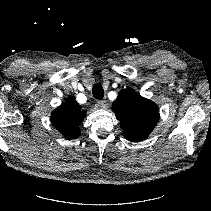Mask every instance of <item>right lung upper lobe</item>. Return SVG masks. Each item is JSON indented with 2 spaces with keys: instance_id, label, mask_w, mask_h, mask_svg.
<instances>
[{
  "instance_id": "right-lung-upper-lobe-1",
  "label": "right lung upper lobe",
  "mask_w": 211,
  "mask_h": 211,
  "mask_svg": "<svg viewBox=\"0 0 211 211\" xmlns=\"http://www.w3.org/2000/svg\"><path fill=\"white\" fill-rule=\"evenodd\" d=\"M85 111L73 98H69L51 114L52 124L69 139L80 136L79 125L83 122Z\"/></svg>"
}]
</instances>
